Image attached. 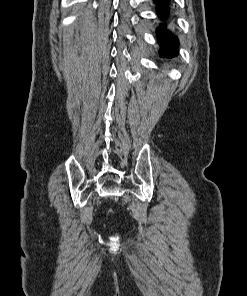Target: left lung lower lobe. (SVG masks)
<instances>
[{
    "mask_svg": "<svg viewBox=\"0 0 247 296\" xmlns=\"http://www.w3.org/2000/svg\"><path fill=\"white\" fill-rule=\"evenodd\" d=\"M156 3V9L159 17L163 20L168 17L169 2L171 0H153ZM158 41L161 46V54L171 57L177 53L178 40L170 32H168L164 26L157 29Z\"/></svg>",
    "mask_w": 247,
    "mask_h": 296,
    "instance_id": "0a47b994",
    "label": "left lung lower lobe"
}]
</instances>
